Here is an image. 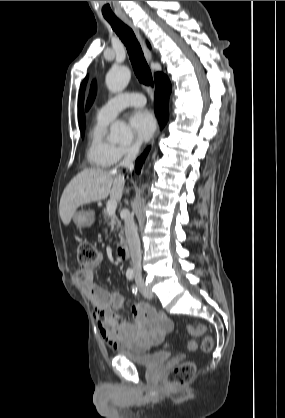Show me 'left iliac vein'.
<instances>
[{"label":"left iliac vein","instance_id":"1","mask_svg":"<svg viewBox=\"0 0 285 418\" xmlns=\"http://www.w3.org/2000/svg\"><path fill=\"white\" fill-rule=\"evenodd\" d=\"M136 284H137V287H138L139 291L141 292V294L144 297H146L148 299L152 298V296H153L152 291L145 285V283L142 279H140V278L137 279Z\"/></svg>","mask_w":285,"mask_h":418}]
</instances>
